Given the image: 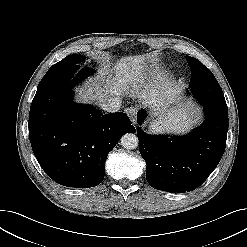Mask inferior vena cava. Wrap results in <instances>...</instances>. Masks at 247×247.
<instances>
[{
    "label": "inferior vena cava",
    "instance_id": "1",
    "mask_svg": "<svg viewBox=\"0 0 247 247\" xmlns=\"http://www.w3.org/2000/svg\"><path fill=\"white\" fill-rule=\"evenodd\" d=\"M101 108L108 112V113H114L118 112L122 106V102L119 98L116 97H110L102 100L100 103Z\"/></svg>",
    "mask_w": 247,
    "mask_h": 247
}]
</instances>
